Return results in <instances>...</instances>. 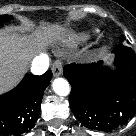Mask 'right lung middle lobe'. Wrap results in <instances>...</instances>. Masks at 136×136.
Wrapping results in <instances>:
<instances>
[{
  "instance_id": "1",
  "label": "right lung middle lobe",
  "mask_w": 136,
  "mask_h": 136,
  "mask_svg": "<svg viewBox=\"0 0 136 136\" xmlns=\"http://www.w3.org/2000/svg\"><path fill=\"white\" fill-rule=\"evenodd\" d=\"M11 19H12V16H10V15H1L0 16V27L2 24H4L5 22H7Z\"/></svg>"
}]
</instances>
